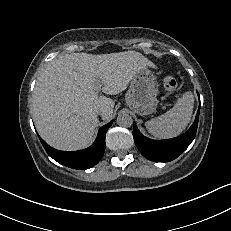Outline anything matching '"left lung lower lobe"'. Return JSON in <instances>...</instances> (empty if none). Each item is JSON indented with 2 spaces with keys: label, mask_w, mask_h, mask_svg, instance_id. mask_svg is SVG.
Masks as SVG:
<instances>
[{
  "label": "left lung lower lobe",
  "mask_w": 231,
  "mask_h": 231,
  "mask_svg": "<svg viewBox=\"0 0 231 231\" xmlns=\"http://www.w3.org/2000/svg\"><path fill=\"white\" fill-rule=\"evenodd\" d=\"M200 107L195 121L183 135L167 140H151L143 136L134 123V142L142 155L155 162H168L177 158L193 141L196 135Z\"/></svg>",
  "instance_id": "1"
}]
</instances>
